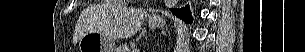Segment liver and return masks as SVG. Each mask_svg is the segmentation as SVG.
Returning a JSON list of instances; mask_svg holds the SVG:
<instances>
[{
  "label": "liver",
  "instance_id": "1",
  "mask_svg": "<svg viewBox=\"0 0 305 52\" xmlns=\"http://www.w3.org/2000/svg\"><path fill=\"white\" fill-rule=\"evenodd\" d=\"M111 8V20L108 30L105 31V33L102 31L100 32L116 39H126L135 35L147 15L145 11L127 7L126 5L121 4L120 1H115L111 5ZM94 31L99 30L91 28L90 22L85 19L75 28V35L73 38L74 44H76L84 34Z\"/></svg>",
  "mask_w": 305,
  "mask_h": 52
}]
</instances>
